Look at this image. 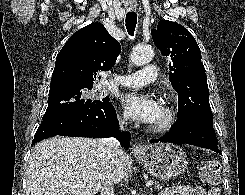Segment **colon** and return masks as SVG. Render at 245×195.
I'll return each instance as SVG.
<instances>
[{
    "instance_id": "colon-1",
    "label": "colon",
    "mask_w": 245,
    "mask_h": 195,
    "mask_svg": "<svg viewBox=\"0 0 245 195\" xmlns=\"http://www.w3.org/2000/svg\"><path fill=\"white\" fill-rule=\"evenodd\" d=\"M220 168L214 160H210L206 165V168L201 173V178L209 186V195H219L217 185L220 181Z\"/></svg>"
}]
</instances>
